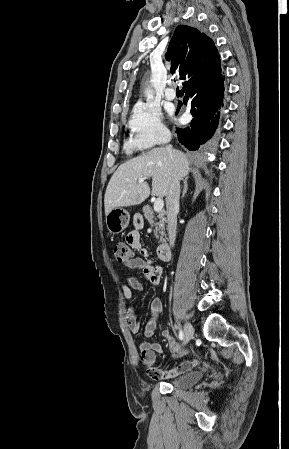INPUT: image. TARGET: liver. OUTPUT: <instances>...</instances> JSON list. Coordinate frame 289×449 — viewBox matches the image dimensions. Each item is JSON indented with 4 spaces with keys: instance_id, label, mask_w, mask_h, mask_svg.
Listing matches in <instances>:
<instances>
[{
    "instance_id": "6515ba94",
    "label": "liver",
    "mask_w": 289,
    "mask_h": 449,
    "mask_svg": "<svg viewBox=\"0 0 289 449\" xmlns=\"http://www.w3.org/2000/svg\"><path fill=\"white\" fill-rule=\"evenodd\" d=\"M189 161L179 150L159 147L119 166L111 177L104 197L105 214L117 207L141 204L149 195L166 197L169 191L171 174L175 171L179 178L189 173ZM152 177V191L141 178Z\"/></svg>"
}]
</instances>
